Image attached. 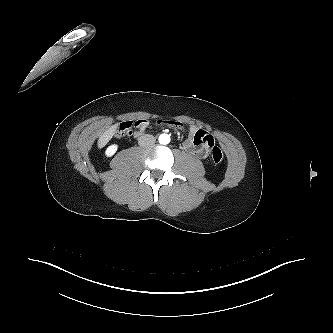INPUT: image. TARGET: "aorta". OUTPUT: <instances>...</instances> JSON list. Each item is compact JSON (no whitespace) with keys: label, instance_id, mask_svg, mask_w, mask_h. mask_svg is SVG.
Wrapping results in <instances>:
<instances>
[{"label":"aorta","instance_id":"1","mask_svg":"<svg viewBox=\"0 0 333 333\" xmlns=\"http://www.w3.org/2000/svg\"><path fill=\"white\" fill-rule=\"evenodd\" d=\"M170 142V136L168 134H161L159 136V143L166 145Z\"/></svg>","mask_w":333,"mask_h":333}]
</instances>
